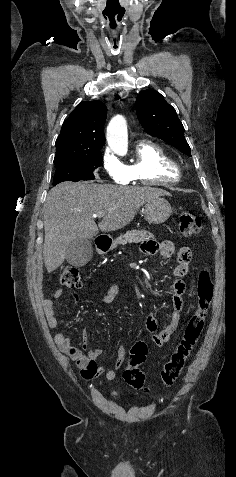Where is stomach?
<instances>
[{
    "label": "stomach",
    "instance_id": "1",
    "mask_svg": "<svg viewBox=\"0 0 236 477\" xmlns=\"http://www.w3.org/2000/svg\"><path fill=\"white\" fill-rule=\"evenodd\" d=\"M143 212L144 217L148 223L161 224L170 217L172 213V207L166 199L158 197L149 200L146 203ZM105 251V249L101 250L102 253H104Z\"/></svg>",
    "mask_w": 236,
    "mask_h": 477
}]
</instances>
